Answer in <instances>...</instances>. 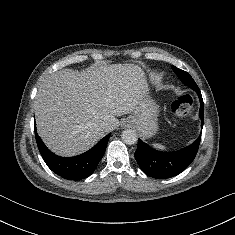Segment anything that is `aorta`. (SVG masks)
Segmentation results:
<instances>
[{
	"instance_id": "aorta-1",
	"label": "aorta",
	"mask_w": 235,
	"mask_h": 235,
	"mask_svg": "<svg viewBox=\"0 0 235 235\" xmlns=\"http://www.w3.org/2000/svg\"><path fill=\"white\" fill-rule=\"evenodd\" d=\"M121 138L124 143L133 145L137 142V134L134 130L127 129L122 132Z\"/></svg>"
}]
</instances>
